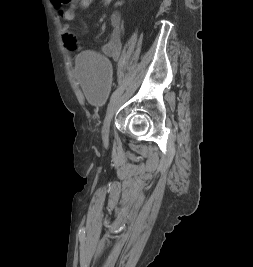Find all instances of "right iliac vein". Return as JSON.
<instances>
[{
	"instance_id": "1",
	"label": "right iliac vein",
	"mask_w": 253,
	"mask_h": 267,
	"mask_svg": "<svg viewBox=\"0 0 253 267\" xmlns=\"http://www.w3.org/2000/svg\"><path fill=\"white\" fill-rule=\"evenodd\" d=\"M122 98H123V95H122V92H120L117 96H115L111 100V102L108 105L102 131H101L104 141H108L110 121L112 117L114 116L116 110L118 109L119 104L122 102Z\"/></svg>"
}]
</instances>
